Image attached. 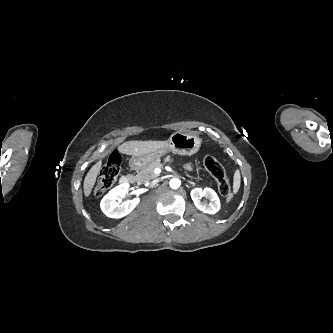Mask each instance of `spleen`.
<instances>
[{"label":"spleen","instance_id":"spleen-1","mask_svg":"<svg viewBox=\"0 0 333 333\" xmlns=\"http://www.w3.org/2000/svg\"><path fill=\"white\" fill-rule=\"evenodd\" d=\"M240 182H241L240 171L236 170L234 173V176H233V192H230L227 195V198H226L227 203H229L233 199L234 195L238 192V190L240 188Z\"/></svg>","mask_w":333,"mask_h":333}]
</instances>
